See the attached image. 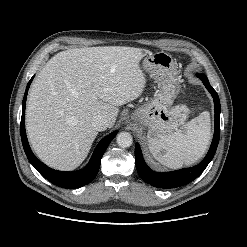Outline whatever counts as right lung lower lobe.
Here are the masks:
<instances>
[{"instance_id":"1","label":"right lung lower lobe","mask_w":247,"mask_h":247,"mask_svg":"<svg viewBox=\"0 0 247 247\" xmlns=\"http://www.w3.org/2000/svg\"><path fill=\"white\" fill-rule=\"evenodd\" d=\"M33 78L34 77H32L31 80L29 81L24 94L23 104H22V117L20 124L21 139L26 156L30 161V163L36 168V170L49 182L59 187H63L67 189L82 187L90 183L96 177L100 167L101 158L105 150L107 149L108 145L110 144L112 139L116 136L118 131H114L110 133L108 136H106L99 142L92 155L90 162L84 169L75 172H62L47 167L45 164L39 161L31 151L25 131L26 98H27L28 89L30 87Z\"/></svg>"}]
</instances>
